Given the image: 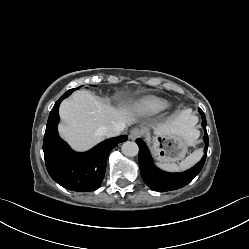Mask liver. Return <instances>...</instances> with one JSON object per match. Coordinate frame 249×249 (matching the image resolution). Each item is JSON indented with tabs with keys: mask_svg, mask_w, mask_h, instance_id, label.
<instances>
[{
	"mask_svg": "<svg viewBox=\"0 0 249 249\" xmlns=\"http://www.w3.org/2000/svg\"><path fill=\"white\" fill-rule=\"evenodd\" d=\"M62 124L59 134L77 151L87 150L104 139L99 130L105 126L123 122L131 124L135 121L134 109L131 107L115 108L89 91H76L70 99L64 100L59 109ZM198 119L189 110L170 117L160 124L157 133H181L190 144L199 137L194 129Z\"/></svg>",
	"mask_w": 249,
	"mask_h": 249,
	"instance_id": "1",
	"label": "liver"
}]
</instances>
